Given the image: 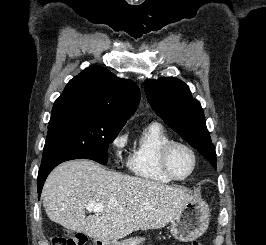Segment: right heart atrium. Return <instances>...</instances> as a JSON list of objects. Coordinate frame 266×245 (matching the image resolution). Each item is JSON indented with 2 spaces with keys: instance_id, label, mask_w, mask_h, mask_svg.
Returning a JSON list of instances; mask_svg holds the SVG:
<instances>
[{
  "instance_id": "obj_1",
  "label": "right heart atrium",
  "mask_w": 266,
  "mask_h": 245,
  "mask_svg": "<svg viewBox=\"0 0 266 245\" xmlns=\"http://www.w3.org/2000/svg\"><path fill=\"white\" fill-rule=\"evenodd\" d=\"M128 143V133L126 130L116 131L110 138L109 147L111 157L117 161L120 154L126 149Z\"/></svg>"
}]
</instances>
